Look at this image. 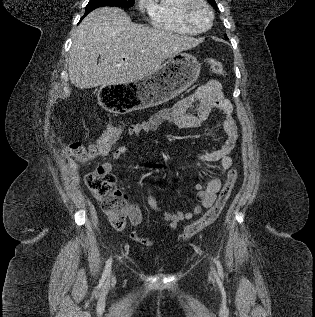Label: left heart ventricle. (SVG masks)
I'll return each mask as SVG.
<instances>
[{
	"label": "left heart ventricle",
	"instance_id": "1",
	"mask_svg": "<svg viewBox=\"0 0 315 317\" xmlns=\"http://www.w3.org/2000/svg\"><path fill=\"white\" fill-rule=\"evenodd\" d=\"M192 20L199 28H205L209 24V13L202 5H196L192 10Z\"/></svg>",
	"mask_w": 315,
	"mask_h": 317
}]
</instances>
